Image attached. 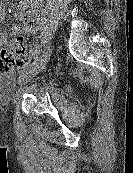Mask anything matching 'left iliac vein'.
<instances>
[{
  "mask_svg": "<svg viewBox=\"0 0 133 173\" xmlns=\"http://www.w3.org/2000/svg\"><path fill=\"white\" fill-rule=\"evenodd\" d=\"M49 60H50V55L46 57H42L39 60H37L36 64L33 67L29 68L28 70L22 73L19 79V84L24 85L31 78H33L40 71H42L46 67Z\"/></svg>",
  "mask_w": 133,
  "mask_h": 173,
  "instance_id": "left-iliac-vein-1",
  "label": "left iliac vein"
}]
</instances>
